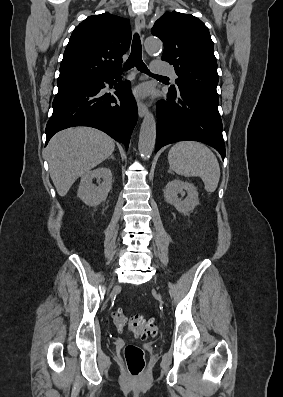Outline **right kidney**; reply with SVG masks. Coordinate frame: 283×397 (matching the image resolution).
<instances>
[{
    "label": "right kidney",
    "mask_w": 283,
    "mask_h": 397,
    "mask_svg": "<svg viewBox=\"0 0 283 397\" xmlns=\"http://www.w3.org/2000/svg\"><path fill=\"white\" fill-rule=\"evenodd\" d=\"M96 179L98 186L92 183ZM102 180V182H101ZM101 182V183H100ZM112 189V172L107 167H99L82 175L77 196L88 206H97L106 200Z\"/></svg>",
    "instance_id": "right-kidney-1"
}]
</instances>
